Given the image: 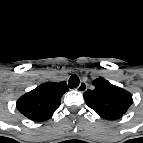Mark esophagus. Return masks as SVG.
I'll return each mask as SVG.
<instances>
[{
    "instance_id": "obj_1",
    "label": "esophagus",
    "mask_w": 143,
    "mask_h": 143,
    "mask_svg": "<svg viewBox=\"0 0 143 143\" xmlns=\"http://www.w3.org/2000/svg\"><path fill=\"white\" fill-rule=\"evenodd\" d=\"M87 89V84L84 81H81V83L79 84V86L77 87V90L79 92H85Z\"/></svg>"
}]
</instances>
